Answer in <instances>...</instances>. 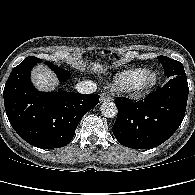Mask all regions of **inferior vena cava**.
<instances>
[{"mask_svg":"<svg viewBox=\"0 0 195 195\" xmlns=\"http://www.w3.org/2000/svg\"><path fill=\"white\" fill-rule=\"evenodd\" d=\"M75 88L79 93L91 94L97 90V85L93 81H81L76 84Z\"/></svg>","mask_w":195,"mask_h":195,"instance_id":"1","label":"inferior vena cava"}]
</instances>
